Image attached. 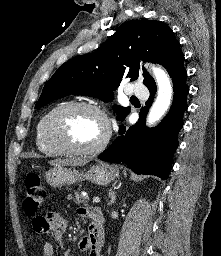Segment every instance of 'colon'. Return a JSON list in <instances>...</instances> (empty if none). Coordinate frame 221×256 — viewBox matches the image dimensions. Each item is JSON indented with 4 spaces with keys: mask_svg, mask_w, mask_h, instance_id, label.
Returning a JSON list of instances; mask_svg holds the SVG:
<instances>
[{
    "mask_svg": "<svg viewBox=\"0 0 221 256\" xmlns=\"http://www.w3.org/2000/svg\"><path fill=\"white\" fill-rule=\"evenodd\" d=\"M26 195L23 207L28 216H35L46 199V190L37 173H28L25 178Z\"/></svg>",
    "mask_w": 221,
    "mask_h": 256,
    "instance_id": "1",
    "label": "colon"
}]
</instances>
